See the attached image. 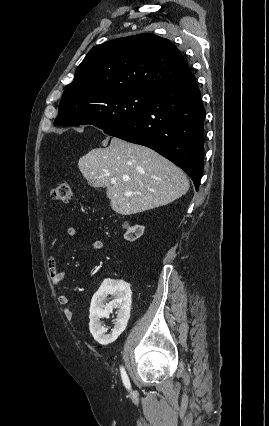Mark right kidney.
I'll list each match as a JSON object with an SVG mask.
<instances>
[{"label":"right kidney","mask_w":269,"mask_h":426,"mask_svg":"<svg viewBox=\"0 0 269 426\" xmlns=\"http://www.w3.org/2000/svg\"><path fill=\"white\" fill-rule=\"evenodd\" d=\"M122 226L124 229H127L124 238L130 242L137 240L144 232V226L135 225L131 228L128 222H124ZM133 233H135V235H133ZM108 295L113 296L114 300L104 304ZM130 304L131 290L128 283L122 280L116 281L111 279L105 280L102 283L92 299L89 316V329L97 342L108 344L115 339L118 329L123 327L128 319ZM113 308L119 309L115 329L111 335H106V330L101 325L100 318L108 317Z\"/></svg>","instance_id":"ca27d5eb"}]
</instances>
